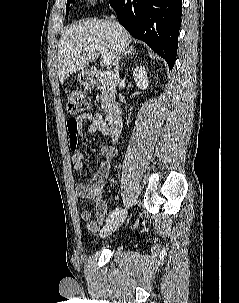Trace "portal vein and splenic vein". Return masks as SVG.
Listing matches in <instances>:
<instances>
[{"label": "portal vein and splenic vein", "instance_id": "18ae733b", "mask_svg": "<svg viewBox=\"0 0 239 303\" xmlns=\"http://www.w3.org/2000/svg\"><path fill=\"white\" fill-rule=\"evenodd\" d=\"M90 51H98L101 53L102 55V60L104 65L108 66L111 64V59L107 53V49L104 45H95V46H91L89 48H87Z\"/></svg>", "mask_w": 239, "mask_h": 303}]
</instances>
